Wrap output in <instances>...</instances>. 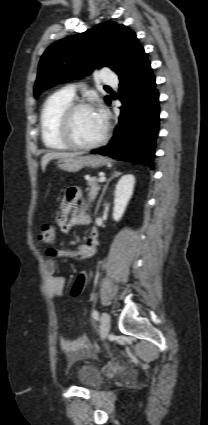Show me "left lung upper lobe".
I'll return each instance as SVG.
<instances>
[{
	"label": "left lung upper lobe",
	"mask_w": 208,
	"mask_h": 425,
	"mask_svg": "<svg viewBox=\"0 0 208 425\" xmlns=\"http://www.w3.org/2000/svg\"><path fill=\"white\" fill-rule=\"evenodd\" d=\"M136 34L123 24L100 23L83 32L53 43L42 55L34 95L58 83L89 75L107 66L119 77L125 75L144 54ZM110 97L105 101L109 104Z\"/></svg>",
	"instance_id": "1"
}]
</instances>
